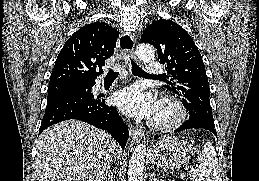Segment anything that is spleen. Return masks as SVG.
<instances>
[{"label":"spleen","mask_w":259,"mask_h":181,"mask_svg":"<svg viewBox=\"0 0 259 181\" xmlns=\"http://www.w3.org/2000/svg\"><path fill=\"white\" fill-rule=\"evenodd\" d=\"M197 162L199 167L189 171L192 181H218L220 172L218 159L210 142H206L203 151L200 152L197 158Z\"/></svg>","instance_id":"1"}]
</instances>
